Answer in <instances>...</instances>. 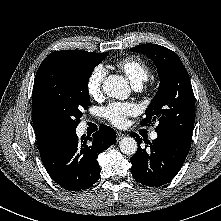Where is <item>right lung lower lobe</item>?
Masks as SVG:
<instances>
[{
  "label": "right lung lower lobe",
  "instance_id": "right-lung-lower-lobe-1",
  "mask_svg": "<svg viewBox=\"0 0 221 221\" xmlns=\"http://www.w3.org/2000/svg\"><path fill=\"white\" fill-rule=\"evenodd\" d=\"M115 131L100 125L92 137H77L76 129L56 135L48 145L39 149L44 167L61 187L79 191L92 186L100 177L97 156L111 146Z\"/></svg>",
  "mask_w": 221,
  "mask_h": 221
}]
</instances>
